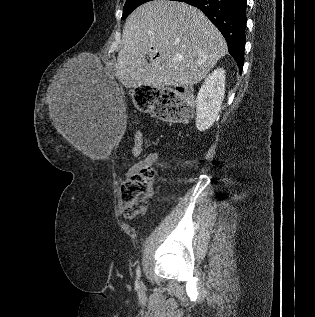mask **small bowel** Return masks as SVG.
<instances>
[{
  "label": "small bowel",
  "instance_id": "obj_1",
  "mask_svg": "<svg viewBox=\"0 0 315 317\" xmlns=\"http://www.w3.org/2000/svg\"><path fill=\"white\" fill-rule=\"evenodd\" d=\"M159 161V154L157 152H150L144 159L132 165L129 169L124 172L125 179L136 173L142 168H148L153 166Z\"/></svg>",
  "mask_w": 315,
  "mask_h": 317
}]
</instances>
